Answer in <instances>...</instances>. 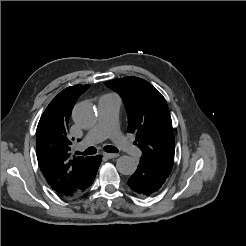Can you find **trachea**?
I'll return each mask as SVG.
<instances>
[{"label":"trachea","instance_id":"3493384b","mask_svg":"<svg viewBox=\"0 0 246 246\" xmlns=\"http://www.w3.org/2000/svg\"><path fill=\"white\" fill-rule=\"evenodd\" d=\"M103 149H104L105 152H108V153H117L118 152V149L116 147H114V146H111V145H106ZM96 152H97V150H96L95 147H89L84 152L77 151V154L93 155Z\"/></svg>","mask_w":246,"mask_h":246}]
</instances>
